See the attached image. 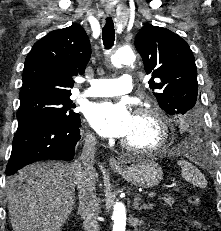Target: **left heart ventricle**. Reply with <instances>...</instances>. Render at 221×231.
Here are the masks:
<instances>
[{"label":"left heart ventricle","mask_w":221,"mask_h":231,"mask_svg":"<svg viewBox=\"0 0 221 231\" xmlns=\"http://www.w3.org/2000/svg\"><path fill=\"white\" fill-rule=\"evenodd\" d=\"M158 137V127L151 118L134 116L133 127L124 140L136 146H150L156 143Z\"/></svg>","instance_id":"obj_1"}]
</instances>
